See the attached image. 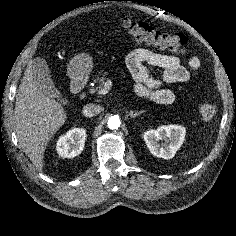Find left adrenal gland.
<instances>
[{"label": "left adrenal gland", "instance_id": "left-adrenal-gland-1", "mask_svg": "<svg viewBox=\"0 0 236 236\" xmlns=\"http://www.w3.org/2000/svg\"><path fill=\"white\" fill-rule=\"evenodd\" d=\"M145 111L144 110H142V111H139V112H134V111H130L129 112V116L131 117V118H135V117H137V116H140L141 114H143Z\"/></svg>", "mask_w": 236, "mask_h": 236}]
</instances>
